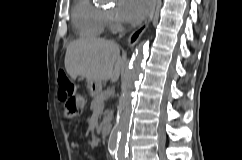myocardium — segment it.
<instances>
[{
	"label": "myocardium",
	"mask_w": 242,
	"mask_h": 160,
	"mask_svg": "<svg viewBox=\"0 0 242 160\" xmlns=\"http://www.w3.org/2000/svg\"><path fill=\"white\" fill-rule=\"evenodd\" d=\"M104 14H105V17H106L107 19H111V18H112L111 13H109V12H105Z\"/></svg>",
	"instance_id": "1"
}]
</instances>
